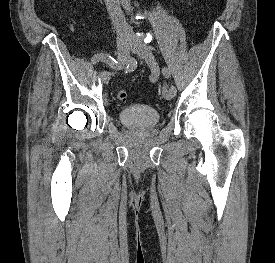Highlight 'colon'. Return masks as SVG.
Wrapping results in <instances>:
<instances>
[{"mask_svg": "<svg viewBox=\"0 0 275 263\" xmlns=\"http://www.w3.org/2000/svg\"><path fill=\"white\" fill-rule=\"evenodd\" d=\"M116 96L119 100H126L128 97V93L125 89L117 90Z\"/></svg>", "mask_w": 275, "mask_h": 263, "instance_id": "1", "label": "colon"}]
</instances>
